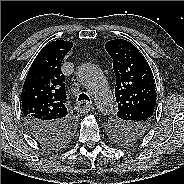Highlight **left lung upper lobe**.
Here are the masks:
<instances>
[{"instance_id":"left-lung-upper-lobe-1","label":"left lung upper lobe","mask_w":184,"mask_h":184,"mask_svg":"<svg viewBox=\"0 0 184 184\" xmlns=\"http://www.w3.org/2000/svg\"><path fill=\"white\" fill-rule=\"evenodd\" d=\"M105 48L113 59L116 76L117 117L109 135L120 144L136 142L148 129L156 105L151 69L140 51L129 41H108Z\"/></svg>"}]
</instances>
